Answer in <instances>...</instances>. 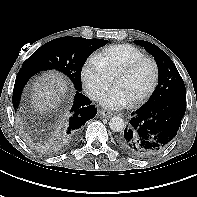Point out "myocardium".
<instances>
[{"label":"myocardium","instance_id":"f54148a6","mask_svg":"<svg viewBox=\"0 0 197 197\" xmlns=\"http://www.w3.org/2000/svg\"><path fill=\"white\" fill-rule=\"evenodd\" d=\"M146 62L150 63L153 68L152 82L149 88L141 96L130 102V105L135 106L141 104L154 93L159 80V67L157 62L151 57H147V56L141 57L139 59L134 60L133 62L123 67L122 69H120L114 77V79H116L118 77L131 75L140 65Z\"/></svg>","mask_w":197,"mask_h":197}]
</instances>
